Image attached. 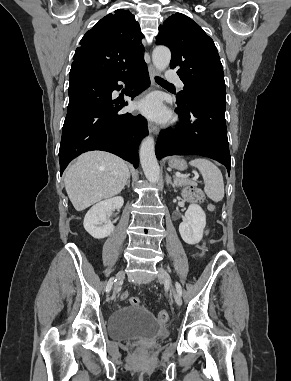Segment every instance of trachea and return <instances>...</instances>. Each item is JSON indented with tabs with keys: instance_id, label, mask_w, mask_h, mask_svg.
<instances>
[{
	"instance_id": "trachea-1",
	"label": "trachea",
	"mask_w": 291,
	"mask_h": 381,
	"mask_svg": "<svg viewBox=\"0 0 291 381\" xmlns=\"http://www.w3.org/2000/svg\"><path fill=\"white\" fill-rule=\"evenodd\" d=\"M155 80L159 84H170L169 82H167L166 80H164V79H162L160 77H155Z\"/></svg>"
}]
</instances>
